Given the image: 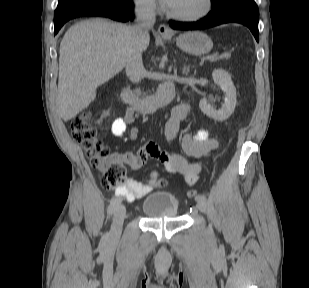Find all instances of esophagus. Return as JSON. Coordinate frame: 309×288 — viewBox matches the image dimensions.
<instances>
[{"instance_id": "obj_1", "label": "esophagus", "mask_w": 309, "mask_h": 288, "mask_svg": "<svg viewBox=\"0 0 309 288\" xmlns=\"http://www.w3.org/2000/svg\"><path fill=\"white\" fill-rule=\"evenodd\" d=\"M158 32L162 36L171 35L172 31L166 24H160L158 27Z\"/></svg>"}]
</instances>
